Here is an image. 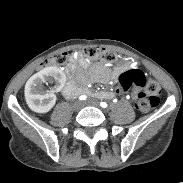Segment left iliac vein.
Returning a JSON list of instances; mask_svg holds the SVG:
<instances>
[{
  "mask_svg": "<svg viewBox=\"0 0 183 183\" xmlns=\"http://www.w3.org/2000/svg\"><path fill=\"white\" fill-rule=\"evenodd\" d=\"M85 105H91V106H95V107H98L99 106V104L96 101H94V100L87 101L85 103Z\"/></svg>",
  "mask_w": 183,
  "mask_h": 183,
  "instance_id": "4c4485c4",
  "label": "left iliac vein"
}]
</instances>
